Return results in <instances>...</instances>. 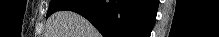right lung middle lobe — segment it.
<instances>
[{
    "label": "right lung middle lobe",
    "mask_w": 219,
    "mask_h": 37,
    "mask_svg": "<svg viewBox=\"0 0 219 37\" xmlns=\"http://www.w3.org/2000/svg\"><path fill=\"white\" fill-rule=\"evenodd\" d=\"M68 2L69 1H67V0H52L50 2V5H49L47 17H49L51 14L59 11L61 9V7Z\"/></svg>",
    "instance_id": "right-lung-middle-lobe-1"
}]
</instances>
